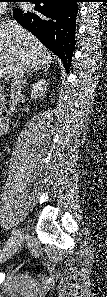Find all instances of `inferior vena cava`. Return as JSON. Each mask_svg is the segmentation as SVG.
<instances>
[{
    "label": "inferior vena cava",
    "instance_id": "1",
    "mask_svg": "<svg viewBox=\"0 0 107 297\" xmlns=\"http://www.w3.org/2000/svg\"><path fill=\"white\" fill-rule=\"evenodd\" d=\"M3 28V27H2ZM6 29V27H5ZM4 30V29H3ZM18 30V26L13 22H9L7 24L6 31L14 34ZM27 65H29L28 58L21 53L17 60L15 61V65L11 71L12 83H11V95H10V105H9V113L16 111V106L21 97V89L25 84V80L23 79L25 72L27 71Z\"/></svg>",
    "mask_w": 107,
    "mask_h": 297
}]
</instances>
